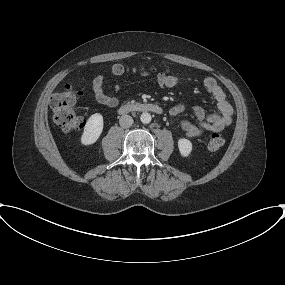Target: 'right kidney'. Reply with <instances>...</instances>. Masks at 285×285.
I'll use <instances>...</instances> for the list:
<instances>
[{
  "instance_id": "1",
  "label": "right kidney",
  "mask_w": 285,
  "mask_h": 285,
  "mask_svg": "<svg viewBox=\"0 0 285 285\" xmlns=\"http://www.w3.org/2000/svg\"><path fill=\"white\" fill-rule=\"evenodd\" d=\"M103 131V116L100 113L91 115L85 125L81 136L83 145L94 144L100 137Z\"/></svg>"
}]
</instances>
